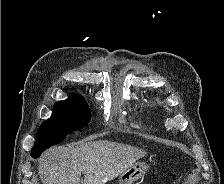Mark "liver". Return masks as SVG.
<instances>
[{"instance_id": "liver-1", "label": "liver", "mask_w": 224, "mask_h": 184, "mask_svg": "<svg viewBox=\"0 0 224 184\" xmlns=\"http://www.w3.org/2000/svg\"><path fill=\"white\" fill-rule=\"evenodd\" d=\"M146 151L111 141L53 147L39 159L43 184H106L143 158Z\"/></svg>"}]
</instances>
